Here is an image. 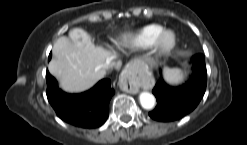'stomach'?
<instances>
[{
  "label": "stomach",
  "mask_w": 247,
  "mask_h": 145,
  "mask_svg": "<svg viewBox=\"0 0 247 145\" xmlns=\"http://www.w3.org/2000/svg\"><path fill=\"white\" fill-rule=\"evenodd\" d=\"M132 65L135 66L136 68H139V69H144L147 67V64L141 60H135L132 63Z\"/></svg>",
  "instance_id": "stomach-1"
}]
</instances>
